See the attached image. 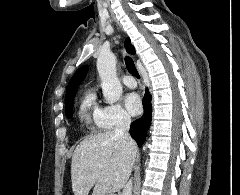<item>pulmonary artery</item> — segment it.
<instances>
[{
    "instance_id": "obj_1",
    "label": "pulmonary artery",
    "mask_w": 240,
    "mask_h": 195,
    "mask_svg": "<svg viewBox=\"0 0 240 195\" xmlns=\"http://www.w3.org/2000/svg\"><path fill=\"white\" fill-rule=\"evenodd\" d=\"M123 82L129 87H134L136 85L135 80L133 78H130L128 75L124 76Z\"/></svg>"
}]
</instances>
